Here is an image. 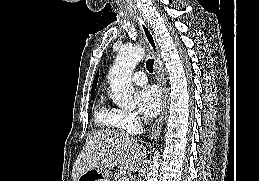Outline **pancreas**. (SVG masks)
Here are the masks:
<instances>
[{
  "label": "pancreas",
  "mask_w": 259,
  "mask_h": 181,
  "mask_svg": "<svg viewBox=\"0 0 259 181\" xmlns=\"http://www.w3.org/2000/svg\"><path fill=\"white\" fill-rule=\"evenodd\" d=\"M121 178H122V177H121V174L117 173V174L114 176L113 181H120Z\"/></svg>",
  "instance_id": "obj_1"
}]
</instances>
